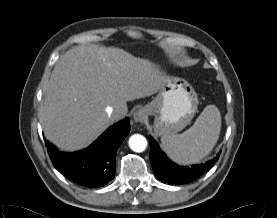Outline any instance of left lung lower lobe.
I'll use <instances>...</instances> for the list:
<instances>
[{
    "mask_svg": "<svg viewBox=\"0 0 277 218\" xmlns=\"http://www.w3.org/2000/svg\"><path fill=\"white\" fill-rule=\"evenodd\" d=\"M150 138V160L153 171L157 179L169 184H185L189 183L204 173L209 171L218 160V157L210 160L206 164L193 165L192 167H181L171 162L164 152L159 148L156 141Z\"/></svg>",
    "mask_w": 277,
    "mask_h": 218,
    "instance_id": "left-lung-lower-lobe-1",
    "label": "left lung lower lobe"
}]
</instances>
